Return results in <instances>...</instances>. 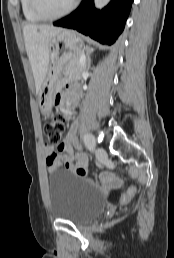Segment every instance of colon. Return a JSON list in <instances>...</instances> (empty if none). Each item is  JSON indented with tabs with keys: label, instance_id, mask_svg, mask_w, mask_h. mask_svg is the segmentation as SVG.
Returning <instances> with one entry per match:
<instances>
[{
	"label": "colon",
	"instance_id": "5ec220e1",
	"mask_svg": "<svg viewBox=\"0 0 174 258\" xmlns=\"http://www.w3.org/2000/svg\"><path fill=\"white\" fill-rule=\"evenodd\" d=\"M65 129V118L61 114H55L44 123V133L50 143H58ZM137 189L130 187L125 193L120 195V200L124 203L129 202L135 195Z\"/></svg>",
	"mask_w": 174,
	"mask_h": 258
}]
</instances>
